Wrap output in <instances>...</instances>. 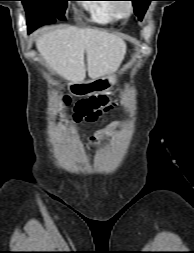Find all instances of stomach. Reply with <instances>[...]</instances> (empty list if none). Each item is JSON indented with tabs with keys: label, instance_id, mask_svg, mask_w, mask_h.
Segmentation results:
<instances>
[{
	"label": "stomach",
	"instance_id": "stomach-1",
	"mask_svg": "<svg viewBox=\"0 0 194 253\" xmlns=\"http://www.w3.org/2000/svg\"><path fill=\"white\" fill-rule=\"evenodd\" d=\"M114 83H115L114 75L109 74L88 81L72 83L70 85V90L76 96H85L93 93L106 92L112 88Z\"/></svg>",
	"mask_w": 194,
	"mask_h": 253
}]
</instances>
